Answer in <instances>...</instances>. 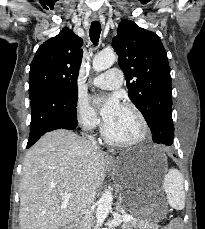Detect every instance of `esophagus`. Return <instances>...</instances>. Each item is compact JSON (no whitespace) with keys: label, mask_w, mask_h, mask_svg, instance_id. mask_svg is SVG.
Here are the masks:
<instances>
[{"label":"esophagus","mask_w":205,"mask_h":229,"mask_svg":"<svg viewBox=\"0 0 205 229\" xmlns=\"http://www.w3.org/2000/svg\"><path fill=\"white\" fill-rule=\"evenodd\" d=\"M92 20H94V21L98 20V16L97 15H92Z\"/></svg>","instance_id":"1"}]
</instances>
